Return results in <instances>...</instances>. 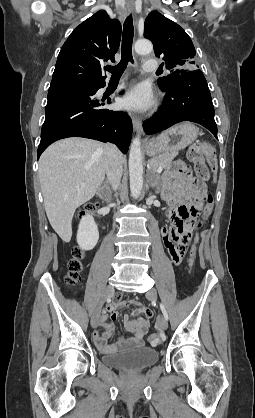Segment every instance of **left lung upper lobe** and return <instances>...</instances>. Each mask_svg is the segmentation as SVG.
Listing matches in <instances>:
<instances>
[{
    "instance_id": "5c2ea615",
    "label": "left lung upper lobe",
    "mask_w": 255,
    "mask_h": 418,
    "mask_svg": "<svg viewBox=\"0 0 255 418\" xmlns=\"http://www.w3.org/2000/svg\"><path fill=\"white\" fill-rule=\"evenodd\" d=\"M144 37L151 40L156 57H162L170 74L157 80L162 91H166L179 75L197 70L195 48L191 38L175 22L158 11H152L145 21Z\"/></svg>"
}]
</instances>
